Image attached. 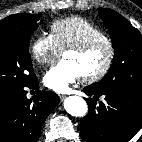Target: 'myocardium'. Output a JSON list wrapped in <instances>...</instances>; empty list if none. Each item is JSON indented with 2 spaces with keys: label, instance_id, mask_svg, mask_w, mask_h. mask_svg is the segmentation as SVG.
Returning a JSON list of instances; mask_svg holds the SVG:
<instances>
[{
  "label": "myocardium",
  "instance_id": "f54148a6",
  "mask_svg": "<svg viewBox=\"0 0 142 142\" xmlns=\"http://www.w3.org/2000/svg\"><path fill=\"white\" fill-rule=\"evenodd\" d=\"M100 44L105 45L107 48L108 53H107L106 61L104 65L97 72L90 75L82 76V80L85 83L97 82L101 80L103 77H105L107 73L110 71L114 61V57H115V48L111 40L108 38L94 37V38L85 40L81 43L69 46L63 51V55L69 51L77 52V53H85Z\"/></svg>",
  "mask_w": 142,
  "mask_h": 142
}]
</instances>
